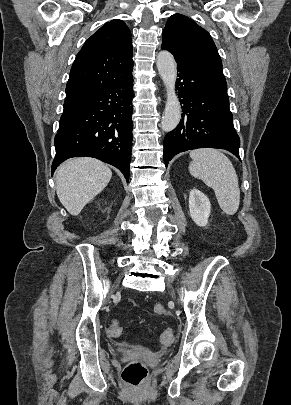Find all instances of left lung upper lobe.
<instances>
[{
	"label": "left lung upper lobe",
	"instance_id": "left-lung-upper-lobe-1",
	"mask_svg": "<svg viewBox=\"0 0 291 405\" xmlns=\"http://www.w3.org/2000/svg\"><path fill=\"white\" fill-rule=\"evenodd\" d=\"M162 48L183 60L222 67L210 34L181 14L169 17L163 31Z\"/></svg>",
	"mask_w": 291,
	"mask_h": 405
}]
</instances>
